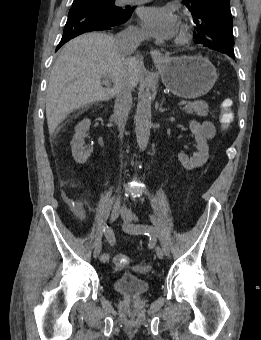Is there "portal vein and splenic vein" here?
<instances>
[{
	"label": "portal vein and splenic vein",
	"instance_id": "1",
	"mask_svg": "<svg viewBox=\"0 0 261 340\" xmlns=\"http://www.w3.org/2000/svg\"><path fill=\"white\" fill-rule=\"evenodd\" d=\"M104 83H105V85L108 86V87L111 85L110 81L107 80V79L104 81ZM185 104H186V101H179V102L177 103L178 106H183V105H185Z\"/></svg>",
	"mask_w": 261,
	"mask_h": 340
}]
</instances>
